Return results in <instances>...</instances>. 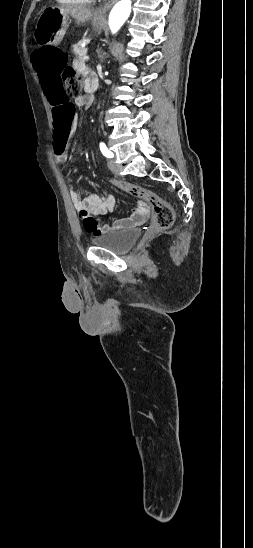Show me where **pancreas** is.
Segmentation results:
<instances>
[{
  "mask_svg": "<svg viewBox=\"0 0 253 548\" xmlns=\"http://www.w3.org/2000/svg\"><path fill=\"white\" fill-rule=\"evenodd\" d=\"M72 52L76 56L77 60L83 61V57L87 53V49L82 47V42H79L72 47Z\"/></svg>",
  "mask_w": 253,
  "mask_h": 548,
  "instance_id": "pancreas-1",
  "label": "pancreas"
}]
</instances>
